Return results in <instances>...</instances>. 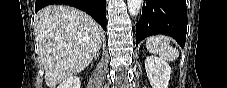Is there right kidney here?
I'll use <instances>...</instances> for the list:
<instances>
[{"label":"right kidney","mask_w":227,"mask_h":88,"mask_svg":"<svg viewBox=\"0 0 227 88\" xmlns=\"http://www.w3.org/2000/svg\"><path fill=\"white\" fill-rule=\"evenodd\" d=\"M80 78L76 76L69 77L59 84L57 88H80Z\"/></svg>","instance_id":"obj_1"}]
</instances>
